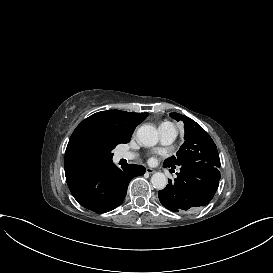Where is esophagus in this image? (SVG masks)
<instances>
[{"instance_id":"1","label":"esophagus","mask_w":273,"mask_h":273,"mask_svg":"<svg viewBox=\"0 0 273 273\" xmlns=\"http://www.w3.org/2000/svg\"><path fill=\"white\" fill-rule=\"evenodd\" d=\"M146 172L149 173V174H151V173H154L155 170L152 169V168H146Z\"/></svg>"}]
</instances>
